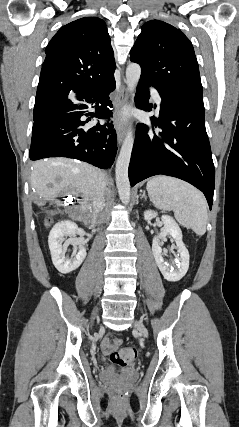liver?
Returning <instances> with one entry per match:
<instances>
[{"label": "liver", "instance_id": "6515ba94", "mask_svg": "<svg viewBox=\"0 0 239 427\" xmlns=\"http://www.w3.org/2000/svg\"><path fill=\"white\" fill-rule=\"evenodd\" d=\"M101 171L94 166L63 158L39 160L33 163L31 185L37 196V203L54 201L66 194L81 195L84 198L81 210L87 213L93 208Z\"/></svg>", "mask_w": 239, "mask_h": 427}]
</instances>
